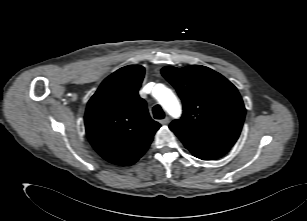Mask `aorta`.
<instances>
[{"mask_svg":"<svg viewBox=\"0 0 307 221\" xmlns=\"http://www.w3.org/2000/svg\"><path fill=\"white\" fill-rule=\"evenodd\" d=\"M154 96L162 107L173 117H179L181 106L174 93L163 85H157L154 88Z\"/></svg>","mask_w":307,"mask_h":221,"instance_id":"aorta-1","label":"aorta"}]
</instances>
